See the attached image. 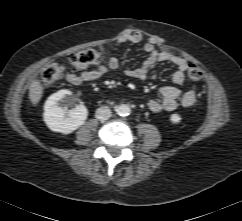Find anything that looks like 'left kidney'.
Instances as JSON below:
<instances>
[{"mask_svg": "<svg viewBox=\"0 0 242 221\" xmlns=\"http://www.w3.org/2000/svg\"><path fill=\"white\" fill-rule=\"evenodd\" d=\"M170 121L174 124H177L181 121V117L178 114H172L170 116Z\"/></svg>", "mask_w": 242, "mask_h": 221, "instance_id": "5707ae66", "label": "left kidney"}]
</instances>
